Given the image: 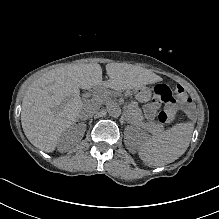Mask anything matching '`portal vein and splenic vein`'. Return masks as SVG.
Wrapping results in <instances>:
<instances>
[{
	"label": "portal vein and splenic vein",
	"mask_w": 219,
	"mask_h": 219,
	"mask_svg": "<svg viewBox=\"0 0 219 219\" xmlns=\"http://www.w3.org/2000/svg\"><path fill=\"white\" fill-rule=\"evenodd\" d=\"M87 96H88L87 94H84V95H83V97H87Z\"/></svg>",
	"instance_id": "18ae733b"
}]
</instances>
